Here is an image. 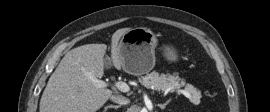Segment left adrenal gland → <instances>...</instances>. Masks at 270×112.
Here are the masks:
<instances>
[{
	"label": "left adrenal gland",
	"instance_id": "a2214340",
	"mask_svg": "<svg viewBox=\"0 0 270 112\" xmlns=\"http://www.w3.org/2000/svg\"><path fill=\"white\" fill-rule=\"evenodd\" d=\"M169 102H170V99L167 100L164 104H159V107H160L161 109H164V108L166 107V105H167Z\"/></svg>",
	"mask_w": 270,
	"mask_h": 112
}]
</instances>
